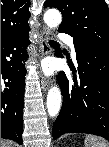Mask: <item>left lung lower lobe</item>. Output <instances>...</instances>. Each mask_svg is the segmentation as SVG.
<instances>
[{
	"mask_svg": "<svg viewBox=\"0 0 109 147\" xmlns=\"http://www.w3.org/2000/svg\"><path fill=\"white\" fill-rule=\"evenodd\" d=\"M74 46L78 68L70 66L73 78L68 79L63 71L58 75L63 103L53 124V138L88 133L109 141V48L76 37ZM56 55L60 56L58 51Z\"/></svg>",
	"mask_w": 109,
	"mask_h": 147,
	"instance_id": "obj_1",
	"label": "left lung lower lobe"
}]
</instances>
